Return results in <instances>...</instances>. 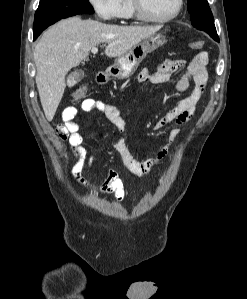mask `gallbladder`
<instances>
[{"mask_svg": "<svg viewBox=\"0 0 247 299\" xmlns=\"http://www.w3.org/2000/svg\"><path fill=\"white\" fill-rule=\"evenodd\" d=\"M83 72L81 70H77L72 72L69 77L67 78V83L69 87L74 86L80 79L82 78Z\"/></svg>", "mask_w": 247, "mask_h": 299, "instance_id": "1", "label": "gallbladder"}]
</instances>
